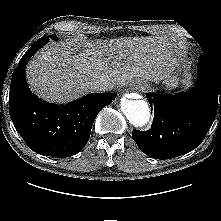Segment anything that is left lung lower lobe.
<instances>
[{
  "instance_id": "left-lung-lower-lobe-1",
  "label": "left lung lower lobe",
  "mask_w": 221,
  "mask_h": 221,
  "mask_svg": "<svg viewBox=\"0 0 221 221\" xmlns=\"http://www.w3.org/2000/svg\"><path fill=\"white\" fill-rule=\"evenodd\" d=\"M154 118L151 129L133 130L142 152L155 159H171L195 149L204 140L221 104V69L207 56L198 59L197 83L188 92L172 95L148 93Z\"/></svg>"
}]
</instances>
